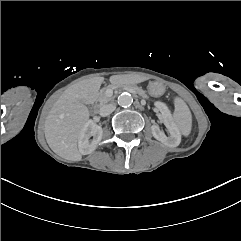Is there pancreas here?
I'll use <instances>...</instances> for the list:
<instances>
[{
	"label": "pancreas",
	"instance_id": "cf45deb5",
	"mask_svg": "<svg viewBox=\"0 0 241 241\" xmlns=\"http://www.w3.org/2000/svg\"><path fill=\"white\" fill-rule=\"evenodd\" d=\"M98 100H99V102H100L101 105H102V104H105V103H108V102H110V101L112 100V97H108V96L106 95V88H104V89H102V90L100 91V95H99Z\"/></svg>",
	"mask_w": 241,
	"mask_h": 241
}]
</instances>
